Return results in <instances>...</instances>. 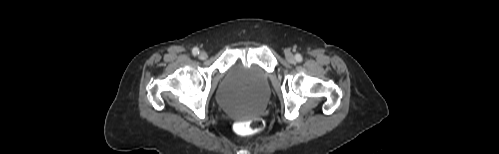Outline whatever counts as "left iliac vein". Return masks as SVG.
<instances>
[{"mask_svg": "<svg viewBox=\"0 0 499 154\" xmlns=\"http://www.w3.org/2000/svg\"><path fill=\"white\" fill-rule=\"evenodd\" d=\"M286 59L290 62V63H294L295 62V57L292 53L290 52H287L286 53Z\"/></svg>", "mask_w": 499, "mask_h": 154, "instance_id": "1", "label": "left iliac vein"}]
</instances>
